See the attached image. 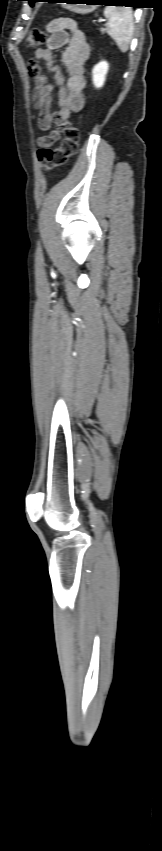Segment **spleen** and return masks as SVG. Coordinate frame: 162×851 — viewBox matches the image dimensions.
<instances>
[{
    "mask_svg": "<svg viewBox=\"0 0 162 851\" xmlns=\"http://www.w3.org/2000/svg\"><path fill=\"white\" fill-rule=\"evenodd\" d=\"M104 15L108 18L107 32L114 39L121 52H126L133 35V16L131 8L106 7Z\"/></svg>",
    "mask_w": 162,
    "mask_h": 851,
    "instance_id": "spleen-1",
    "label": "spleen"
}]
</instances>
